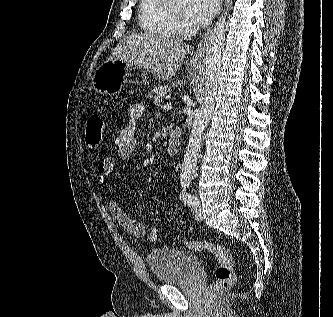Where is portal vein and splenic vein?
I'll return each mask as SVG.
<instances>
[{
	"label": "portal vein and splenic vein",
	"mask_w": 333,
	"mask_h": 317,
	"mask_svg": "<svg viewBox=\"0 0 333 317\" xmlns=\"http://www.w3.org/2000/svg\"><path fill=\"white\" fill-rule=\"evenodd\" d=\"M163 108H164L165 110H169V109L172 108V105H171V103L169 102V103H166V104L163 106Z\"/></svg>",
	"instance_id": "1"
}]
</instances>
